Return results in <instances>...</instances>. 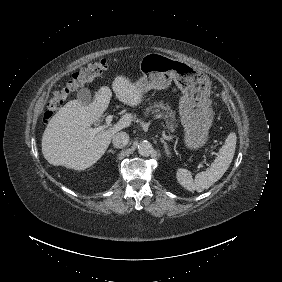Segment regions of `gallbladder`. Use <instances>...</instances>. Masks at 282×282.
<instances>
[{"mask_svg":"<svg viewBox=\"0 0 282 282\" xmlns=\"http://www.w3.org/2000/svg\"><path fill=\"white\" fill-rule=\"evenodd\" d=\"M78 101L83 105H88L91 101V93L90 90L87 88H82L77 93Z\"/></svg>","mask_w":282,"mask_h":282,"instance_id":"1","label":"gallbladder"}]
</instances>
